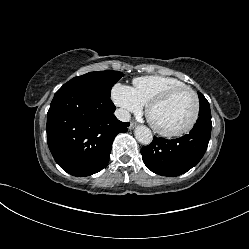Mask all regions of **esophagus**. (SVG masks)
Returning a JSON list of instances; mask_svg holds the SVG:
<instances>
[{"mask_svg": "<svg viewBox=\"0 0 249 249\" xmlns=\"http://www.w3.org/2000/svg\"><path fill=\"white\" fill-rule=\"evenodd\" d=\"M136 126H137L136 122H131L130 126H129V129H134Z\"/></svg>", "mask_w": 249, "mask_h": 249, "instance_id": "obj_1", "label": "esophagus"}]
</instances>
